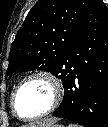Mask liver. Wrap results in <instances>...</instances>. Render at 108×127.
Masks as SVG:
<instances>
[{"mask_svg": "<svg viewBox=\"0 0 108 127\" xmlns=\"http://www.w3.org/2000/svg\"><path fill=\"white\" fill-rule=\"evenodd\" d=\"M55 122H57L56 118H49V119H45V120H41V121L31 123L29 125H26L25 127L48 126V125L53 124Z\"/></svg>", "mask_w": 108, "mask_h": 127, "instance_id": "obj_1", "label": "liver"}]
</instances>
